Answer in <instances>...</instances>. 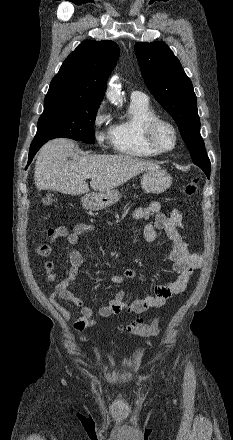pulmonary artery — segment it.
Instances as JSON below:
<instances>
[{
    "mask_svg": "<svg viewBox=\"0 0 233 440\" xmlns=\"http://www.w3.org/2000/svg\"><path fill=\"white\" fill-rule=\"evenodd\" d=\"M130 98H131V100H134V101H143V102L148 101V96L145 93L140 92V91L131 92Z\"/></svg>",
    "mask_w": 233,
    "mask_h": 440,
    "instance_id": "obj_1",
    "label": "pulmonary artery"
}]
</instances>
